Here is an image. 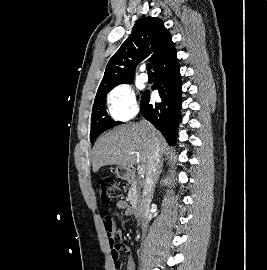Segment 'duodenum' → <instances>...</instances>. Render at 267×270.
<instances>
[{
	"label": "duodenum",
	"instance_id": "1",
	"mask_svg": "<svg viewBox=\"0 0 267 270\" xmlns=\"http://www.w3.org/2000/svg\"><path fill=\"white\" fill-rule=\"evenodd\" d=\"M127 176L130 179H134V177H135L134 171L133 170H128L127 171ZM135 212H136L137 217L140 220H145L148 217V213H149L148 211L145 210L144 206L141 203H138L136 205Z\"/></svg>",
	"mask_w": 267,
	"mask_h": 270
}]
</instances>
